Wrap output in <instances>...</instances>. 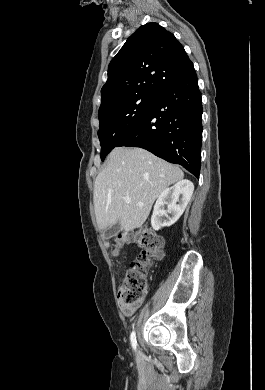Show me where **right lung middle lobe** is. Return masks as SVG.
<instances>
[{
  "label": "right lung middle lobe",
  "mask_w": 265,
  "mask_h": 390,
  "mask_svg": "<svg viewBox=\"0 0 265 390\" xmlns=\"http://www.w3.org/2000/svg\"><path fill=\"white\" fill-rule=\"evenodd\" d=\"M154 95L137 94L111 104L98 112L100 122L98 137L101 144L102 161L146 114Z\"/></svg>",
  "instance_id": "1"
}]
</instances>
